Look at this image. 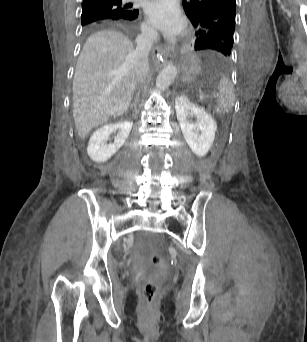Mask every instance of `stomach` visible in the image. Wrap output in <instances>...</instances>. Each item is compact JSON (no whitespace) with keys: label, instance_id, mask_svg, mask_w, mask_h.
<instances>
[{"label":"stomach","instance_id":"stomach-1","mask_svg":"<svg viewBox=\"0 0 307 342\" xmlns=\"http://www.w3.org/2000/svg\"><path fill=\"white\" fill-rule=\"evenodd\" d=\"M187 62H188V61H184V63H183V66H184V67L187 65ZM183 79H184V80H188V79H189V74L186 73V74L184 75Z\"/></svg>","mask_w":307,"mask_h":342}]
</instances>
